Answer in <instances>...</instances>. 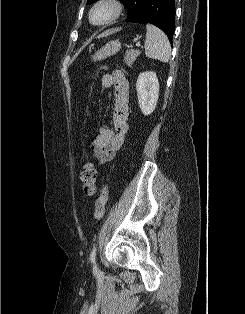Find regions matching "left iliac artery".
<instances>
[{
  "instance_id": "obj_1",
  "label": "left iliac artery",
  "mask_w": 245,
  "mask_h": 314,
  "mask_svg": "<svg viewBox=\"0 0 245 314\" xmlns=\"http://www.w3.org/2000/svg\"><path fill=\"white\" fill-rule=\"evenodd\" d=\"M95 259H96V246L93 247L90 254V260L92 263H95Z\"/></svg>"
}]
</instances>
